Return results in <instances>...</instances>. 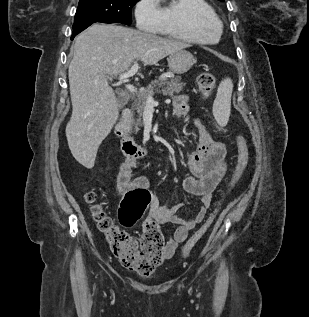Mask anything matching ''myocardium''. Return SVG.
<instances>
[{
  "instance_id": "f54148a6",
  "label": "myocardium",
  "mask_w": 309,
  "mask_h": 317,
  "mask_svg": "<svg viewBox=\"0 0 309 317\" xmlns=\"http://www.w3.org/2000/svg\"><path fill=\"white\" fill-rule=\"evenodd\" d=\"M205 24H207V21L205 19H200V21L198 22V26L199 27H202L204 26Z\"/></svg>"
}]
</instances>
